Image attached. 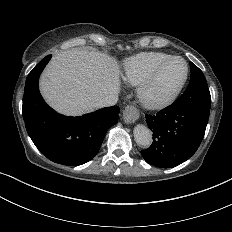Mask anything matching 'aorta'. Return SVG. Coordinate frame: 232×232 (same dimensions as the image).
Returning <instances> with one entry per match:
<instances>
[{
    "instance_id": "1",
    "label": "aorta",
    "mask_w": 232,
    "mask_h": 232,
    "mask_svg": "<svg viewBox=\"0 0 232 232\" xmlns=\"http://www.w3.org/2000/svg\"><path fill=\"white\" fill-rule=\"evenodd\" d=\"M133 134L136 143L142 148H148L153 142L152 132L145 125L139 124L135 126Z\"/></svg>"
}]
</instances>
